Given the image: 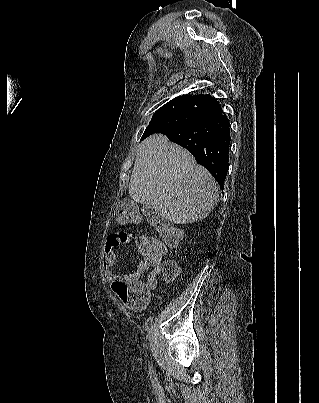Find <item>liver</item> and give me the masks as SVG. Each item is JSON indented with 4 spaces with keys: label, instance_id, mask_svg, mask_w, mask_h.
I'll use <instances>...</instances> for the list:
<instances>
[{
    "label": "liver",
    "instance_id": "liver-1",
    "mask_svg": "<svg viewBox=\"0 0 319 403\" xmlns=\"http://www.w3.org/2000/svg\"><path fill=\"white\" fill-rule=\"evenodd\" d=\"M129 195L164 219L186 224L209 215L218 198V186L188 151L166 136L154 134L139 145Z\"/></svg>",
    "mask_w": 319,
    "mask_h": 403
}]
</instances>
